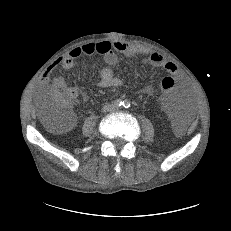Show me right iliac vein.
<instances>
[{"label": "right iliac vein", "instance_id": "right-iliac-vein-1", "mask_svg": "<svg viewBox=\"0 0 231 231\" xmlns=\"http://www.w3.org/2000/svg\"><path fill=\"white\" fill-rule=\"evenodd\" d=\"M112 108L110 107V106H107V107H105L103 110H104V112H106V111H110Z\"/></svg>", "mask_w": 231, "mask_h": 231}]
</instances>
